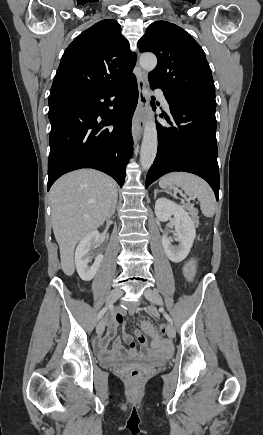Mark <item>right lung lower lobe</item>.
Returning a JSON list of instances; mask_svg holds the SVG:
<instances>
[{"mask_svg":"<svg viewBox=\"0 0 263 435\" xmlns=\"http://www.w3.org/2000/svg\"><path fill=\"white\" fill-rule=\"evenodd\" d=\"M137 102L133 74L86 97L49 105L48 191L61 175L81 168L105 172L122 186L132 154L131 121ZM109 125L114 129L106 128Z\"/></svg>","mask_w":263,"mask_h":435,"instance_id":"1","label":"right lung lower lobe"}]
</instances>
